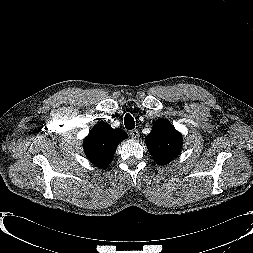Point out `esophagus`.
I'll list each match as a JSON object with an SVG mask.
<instances>
[{
	"mask_svg": "<svg viewBox=\"0 0 253 253\" xmlns=\"http://www.w3.org/2000/svg\"><path fill=\"white\" fill-rule=\"evenodd\" d=\"M130 135L133 139H138L139 138V132L137 129H133L130 131Z\"/></svg>",
	"mask_w": 253,
	"mask_h": 253,
	"instance_id": "1",
	"label": "esophagus"
}]
</instances>
